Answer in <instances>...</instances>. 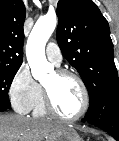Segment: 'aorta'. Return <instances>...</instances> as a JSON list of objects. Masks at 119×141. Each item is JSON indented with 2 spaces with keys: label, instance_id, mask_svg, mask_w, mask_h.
<instances>
[{
  "label": "aorta",
  "instance_id": "762f6f07",
  "mask_svg": "<svg viewBox=\"0 0 119 141\" xmlns=\"http://www.w3.org/2000/svg\"><path fill=\"white\" fill-rule=\"evenodd\" d=\"M57 18L55 15L40 17L34 25L26 45V56L32 76L38 81L46 78L53 71V66L46 60L45 46L55 30Z\"/></svg>",
  "mask_w": 119,
  "mask_h": 141
}]
</instances>
